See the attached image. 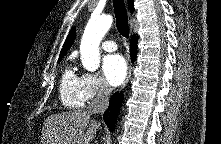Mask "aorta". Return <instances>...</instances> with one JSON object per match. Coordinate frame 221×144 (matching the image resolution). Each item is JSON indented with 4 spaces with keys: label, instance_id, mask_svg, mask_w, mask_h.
<instances>
[{
    "label": "aorta",
    "instance_id": "762f6f07",
    "mask_svg": "<svg viewBox=\"0 0 221 144\" xmlns=\"http://www.w3.org/2000/svg\"><path fill=\"white\" fill-rule=\"evenodd\" d=\"M112 23L113 18L110 15L92 16L87 23L80 44L81 61L87 71L94 72L98 69L99 45Z\"/></svg>",
    "mask_w": 221,
    "mask_h": 144
}]
</instances>
